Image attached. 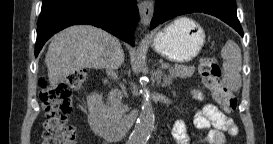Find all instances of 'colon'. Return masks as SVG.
I'll return each instance as SVG.
<instances>
[{"label":"colon","mask_w":273,"mask_h":144,"mask_svg":"<svg viewBox=\"0 0 273 144\" xmlns=\"http://www.w3.org/2000/svg\"><path fill=\"white\" fill-rule=\"evenodd\" d=\"M203 85L211 92L213 99L226 113L237 108V98L221 82L222 68L213 58H205L199 65ZM86 79L83 69L72 71L67 78L50 87H44L41 100L47 111V121L43 134L44 144H72L75 129L67 124L65 117L72 110L70 88H79Z\"/></svg>","instance_id":"colon-1"}]
</instances>
